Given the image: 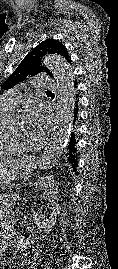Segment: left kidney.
Masks as SVG:
<instances>
[{
  "instance_id": "left-kidney-1",
  "label": "left kidney",
  "mask_w": 118,
  "mask_h": 269,
  "mask_svg": "<svg viewBox=\"0 0 118 269\" xmlns=\"http://www.w3.org/2000/svg\"><path fill=\"white\" fill-rule=\"evenodd\" d=\"M40 190H44L47 194L48 199L51 202L52 212L49 218L46 219L39 216L33 208L31 209V212L38 229L44 232H49L54 228L57 216L60 213V206L58 204V185L50 176H43L35 183L34 192H39Z\"/></svg>"
}]
</instances>
